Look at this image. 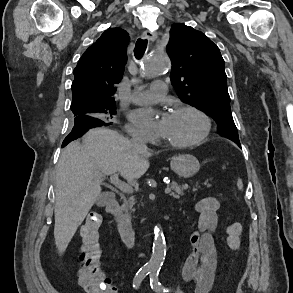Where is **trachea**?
I'll return each mask as SVG.
<instances>
[{
  "mask_svg": "<svg viewBox=\"0 0 293 293\" xmlns=\"http://www.w3.org/2000/svg\"><path fill=\"white\" fill-rule=\"evenodd\" d=\"M147 48V39H138L134 49L136 59H140Z\"/></svg>",
  "mask_w": 293,
  "mask_h": 293,
  "instance_id": "3493384b",
  "label": "trachea"
}]
</instances>
